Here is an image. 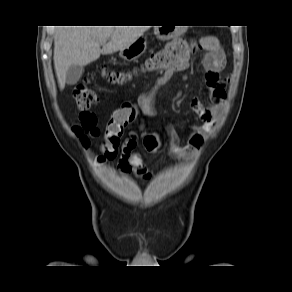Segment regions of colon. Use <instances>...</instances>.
<instances>
[{"instance_id": "5ec220e1", "label": "colon", "mask_w": 292, "mask_h": 292, "mask_svg": "<svg viewBox=\"0 0 292 292\" xmlns=\"http://www.w3.org/2000/svg\"><path fill=\"white\" fill-rule=\"evenodd\" d=\"M195 45L184 40H176L167 44L163 49L153 54L144 64L147 71L163 73L171 67L186 61ZM114 83L122 82L126 75L123 72H103ZM73 96L80 110V123L74 127L75 134L83 145H88L91 138L98 136L97 118L90 108L98 102L96 92L88 85V80L78 83L73 88ZM157 92L152 90L139 99L138 109L146 117H152L157 112ZM136 110L126 103L113 111L107 122L104 140L101 147L100 161L115 158L121 143L123 132L127 125L134 119ZM146 153L155 157L160 152L159 144L155 137L147 136L144 139Z\"/></svg>"}]
</instances>
